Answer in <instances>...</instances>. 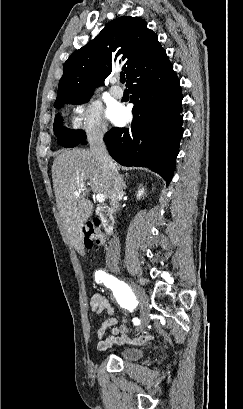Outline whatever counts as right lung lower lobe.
I'll return each mask as SVG.
<instances>
[{
  "instance_id": "98d812e1",
  "label": "right lung lower lobe",
  "mask_w": 243,
  "mask_h": 409,
  "mask_svg": "<svg viewBox=\"0 0 243 409\" xmlns=\"http://www.w3.org/2000/svg\"><path fill=\"white\" fill-rule=\"evenodd\" d=\"M133 122L105 135L110 155L123 166H141L160 174L167 185L175 169L182 130L183 99L179 79L170 66L129 87ZM86 144V140L81 142Z\"/></svg>"
}]
</instances>
